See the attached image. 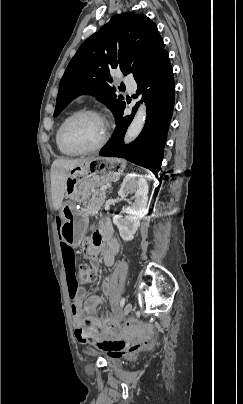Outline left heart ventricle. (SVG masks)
<instances>
[{"label":"left heart ventricle","mask_w":243,"mask_h":404,"mask_svg":"<svg viewBox=\"0 0 243 404\" xmlns=\"http://www.w3.org/2000/svg\"><path fill=\"white\" fill-rule=\"evenodd\" d=\"M104 120L86 115L72 121L65 131L67 139L82 147H92L99 143L105 132Z\"/></svg>","instance_id":"b2bd125f"}]
</instances>
